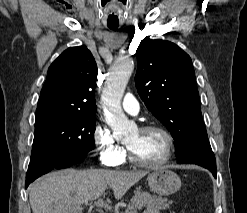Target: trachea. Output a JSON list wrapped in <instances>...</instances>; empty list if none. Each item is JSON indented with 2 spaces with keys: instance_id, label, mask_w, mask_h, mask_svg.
I'll return each instance as SVG.
<instances>
[{
  "instance_id": "3493384b",
  "label": "trachea",
  "mask_w": 247,
  "mask_h": 213,
  "mask_svg": "<svg viewBox=\"0 0 247 213\" xmlns=\"http://www.w3.org/2000/svg\"><path fill=\"white\" fill-rule=\"evenodd\" d=\"M108 27L112 30H115L118 28V25H108Z\"/></svg>"
}]
</instances>
